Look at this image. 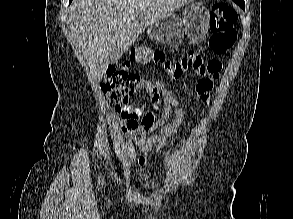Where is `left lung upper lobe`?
<instances>
[{"instance_id":"5c2ea615","label":"left lung upper lobe","mask_w":293,"mask_h":219,"mask_svg":"<svg viewBox=\"0 0 293 219\" xmlns=\"http://www.w3.org/2000/svg\"><path fill=\"white\" fill-rule=\"evenodd\" d=\"M234 2H240V1H243V0H233Z\"/></svg>"}]
</instances>
